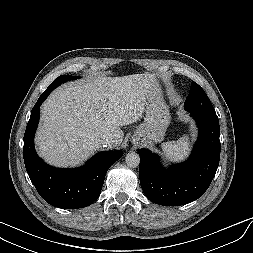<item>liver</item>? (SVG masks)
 I'll list each match as a JSON object with an SVG mask.
<instances>
[{
  "instance_id": "1",
  "label": "liver",
  "mask_w": 253,
  "mask_h": 253,
  "mask_svg": "<svg viewBox=\"0 0 253 253\" xmlns=\"http://www.w3.org/2000/svg\"><path fill=\"white\" fill-rule=\"evenodd\" d=\"M158 87L154 74L98 76L62 85L41 107L38 154L51 165L69 167L105 145L104 134L114 137L109 147H118L124 137L120 127L142 117L148 94Z\"/></svg>"
}]
</instances>
